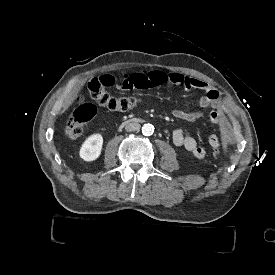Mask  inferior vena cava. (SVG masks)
<instances>
[{"mask_svg":"<svg viewBox=\"0 0 275 275\" xmlns=\"http://www.w3.org/2000/svg\"><path fill=\"white\" fill-rule=\"evenodd\" d=\"M140 129V124L136 122L128 123L125 126V130L130 132V131H138Z\"/></svg>","mask_w":275,"mask_h":275,"instance_id":"1","label":"inferior vena cava"}]
</instances>
